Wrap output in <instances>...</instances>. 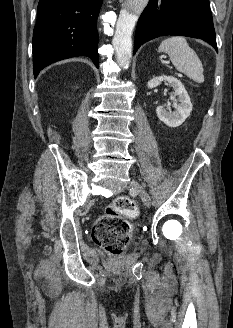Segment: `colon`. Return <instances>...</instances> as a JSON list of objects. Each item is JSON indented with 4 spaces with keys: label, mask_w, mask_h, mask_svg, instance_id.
Segmentation results:
<instances>
[{
    "label": "colon",
    "mask_w": 233,
    "mask_h": 328,
    "mask_svg": "<svg viewBox=\"0 0 233 328\" xmlns=\"http://www.w3.org/2000/svg\"><path fill=\"white\" fill-rule=\"evenodd\" d=\"M138 214L136 203L127 196L116 198L92 228L93 241L107 253L119 256L131 235L126 219Z\"/></svg>",
    "instance_id": "colon-1"
}]
</instances>
